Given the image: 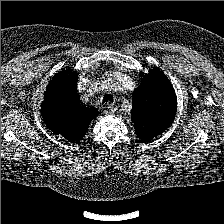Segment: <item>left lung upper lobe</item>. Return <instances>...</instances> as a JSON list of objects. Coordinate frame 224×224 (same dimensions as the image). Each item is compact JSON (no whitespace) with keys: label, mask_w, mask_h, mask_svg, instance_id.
<instances>
[{"label":"left lung upper lobe","mask_w":224,"mask_h":224,"mask_svg":"<svg viewBox=\"0 0 224 224\" xmlns=\"http://www.w3.org/2000/svg\"><path fill=\"white\" fill-rule=\"evenodd\" d=\"M141 75L144 76L142 72ZM132 97V121L141 140H152L173 122L177 111L175 91L160 71L144 76Z\"/></svg>","instance_id":"5c2ea615"}]
</instances>
